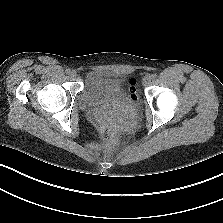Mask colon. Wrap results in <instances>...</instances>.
Masks as SVG:
<instances>
[{
	"mask_svg": "<svg viewBox=\"0 0 223 223\" xmlns=\"http://www.w3.org/2000/svg\"><path fill=\"white\" fill-rule=\"evenodd\" d=\"M132 96L136 97L135 87L130 88ZM103 139H104V149L110 150L112 148V139L115 134V128L110 123H105L102 127Z\"/></svg>",
	"mask_w": 223,
	"mask_h": 223,
	"instance_id": "5ec220e1",
	"label": "colon"
}]
</instances>
